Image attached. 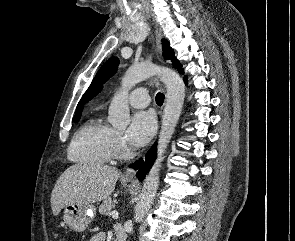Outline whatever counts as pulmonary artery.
Returning <instances> with one entry per match:
<instances>
[{
	"label": "pulmonary artery",
	"mask_w": 295,
	"mask_h": 241,
	"mask_svg": "<svg viewBox=\"0 0 295 241\" xmlns=\"http://www.w3.org/2000/svg\"><path fill=\"white\" fill-rule=\"evenodd\" d=\"M150 100L149 91L143 87L134 89L127 96V101L135 108H144L148 106Z\"/></svg>",
	"instance_id": "pulmonary-artery-1"
}]
</instances>
